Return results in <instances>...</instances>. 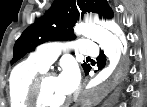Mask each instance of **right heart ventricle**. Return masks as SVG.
Listing matches in <instances>:
<instances>
[{
  "label": "right heart ventricle",
  "mask_w": 147,
  "mask_h": 107,
  "mask_svg": "<svg viewBox=\"0 0 147 107\" xmlns=\"http://www.w3.org/2000/svg\"><path fill=\"white\" fill-rule=\"evenodd\" d=\"M44 70L45 67L32 59L25 60L13 68L9 80V100L12 107H30L28 103L30 85Z\"/></svg>",
  "instance_id": "right-heart-ventricle-1"
}]
</instances>
